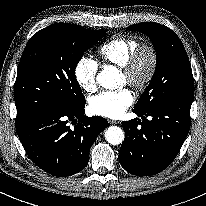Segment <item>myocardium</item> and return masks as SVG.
I'll use <instances>...</instances> for the list:
<instances>
[{
	"instance_id": "myocardium-1",
	"label": "myocardium",
	"mask_w": 206,
	"mask_h": 206,
	"mask_svg": "<svg viewBox=\"0 0 206 206\" xmlns=\"http://www.w3.org/2000/svg\"><path fill=\"white\" fill-rule=\"evenodd\" d=\"M143 55L148 57V68L145 73H139V65ZM158 66V52L149 42L139 43L130 54L126 64L121 68L126 83L136 90L145 88L153 79Z\"/></svg>"
}]
</instances>
